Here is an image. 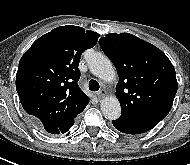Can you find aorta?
Returning <instances> with one entry per match:
<instances>
[{
	"label": "aorta",
	"instance_id": "1",
	"mask_svg": "<svg viewBox=\"0 0 190 165\" xmlns=\"http://www.w3.org/2000/svg\"><path fill=\"white\" fill-rule=\"evenodd\" d=\"M88 66L93 75L110 82L116 78L112 62L102 53H94L88 60ZM101 111L108 120H116L121 113V107L116 97H106L101 100Z\"/></svg>",
	"mask_w": 190,
	"mask_h": 165
}]
</instances>
